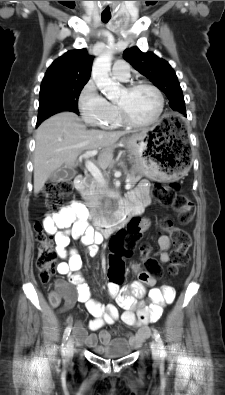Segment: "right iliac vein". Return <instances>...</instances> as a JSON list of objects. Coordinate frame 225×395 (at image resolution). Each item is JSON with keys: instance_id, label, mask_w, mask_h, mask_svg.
Listing matches in <instances>:
<instances>
[{"instance_id": "right-iliac-vein-1", "label": "right iliac vein", "mask_w": 225, "mask_h": 395, "mask_svg": "<svg viewBox=\"0 0 225 395\" xmlns=\"http://www.w3.org/2000/svg\"><path fill=\"white\" fill-rule=\"evenodd\" d=\"M74 355V340L73 336L71 335L66 344L65 350V358L67 361H70Z\"/></svg>"}]
</instances>
